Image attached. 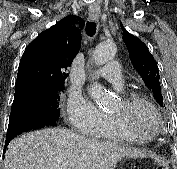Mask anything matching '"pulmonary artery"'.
Segmentation results:
<instances>
[{
	"instance_id": "obj_1",
	"label": "pulmonary artery",
	"mask_w": 177,
	"mask_h": 169,
	"mask_svg": "<svg viewBox=\"0 0 177 169\" xmlns=\"http://www.w3.org/2000/svg\"><path fill=\"white\" fill-rule=\"evenodd\" d=\"M93 76L108 81L118 89L123 88L124 81L121 73V65L115 60L109 62L108 66L95 71Z\"/></svg>"
}]
</instances>
